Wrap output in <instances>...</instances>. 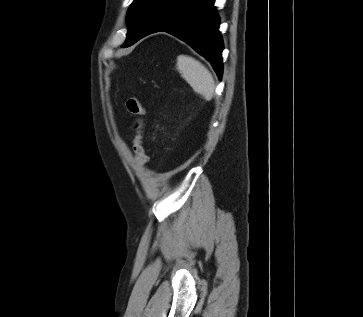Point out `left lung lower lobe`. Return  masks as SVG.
<instances>
[{
    "label": "left lung lower lobe",
    "instance_id": "0a47b994",
    "mask_svg": "<svg viewBox=\"0 0 363 317\" xmlns=\"http://www.w3.org/2000/svg\"><path fill=\"white\" fill-rule=\"evenodd\" d=\"M218 29L219 17L214 0H158L138 40L155 32L166 31L205 57L221 79L223 42Z\"/></svg>",
    "mask_w": 363,
    "mask_h": 317
}]
</instances>
